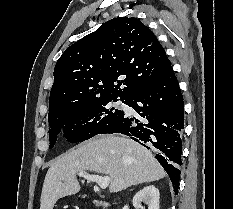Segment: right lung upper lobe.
<instances>
[{
	"mask_svg": "<svg viewBox=\"0 0 233 209\" xmlns=\"http://www.w3.org/2000/svg\"><path fill=\"white\" fill-rule=\"evenodd\" d=\"M170 68L164 48L147 26L136 18H114L58 59L49 113L105 98L125 100L156 84Z\"/></svg>",
	"mask_w": 233,
	"mask_h": 209,
	"instance_id": "obj_1",
	"label": "right lung upper lobe"
}]
</instances>
